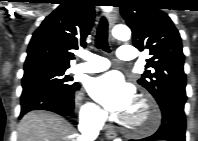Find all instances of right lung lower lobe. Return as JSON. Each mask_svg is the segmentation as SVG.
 <instances>
[{"label": "right lung lower lobe", "instance_id": "obj_1", "mask_svg": "<svg viewBox=\"0 0 198 141\" xmlns=\"http://www.w3.org/2000/svg\"><path fill=\"white\" fill-rule=\"evenodd\" d=\"M74 91L62 92L49 86H30L23 88L21 113L19 118L32 110H47L65 117L73 115Z\"/></svg>", "mask_w": 198, "mask_h": 141}]
</instances>
